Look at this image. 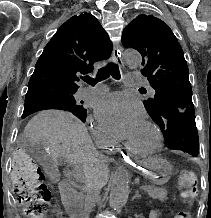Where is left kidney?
Listing matches in <instances>:
<instances>
[{
  "instance_id": "left-kidney-1",
  "label": "left kidney",
  "mask_w": 211,
  "mask_h": 218,
  "mask_svg": "<svg viewBox=\"0 0 211 218\" xmlns=\"http://www.w3.org/2000/svg\"><path fill=\"white\" fill-rule=\"evenodd\" d=\"M154 218H159L158 210H153Z\"/></svg>"
}]
</instances>
